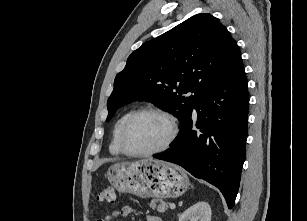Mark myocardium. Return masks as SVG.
<instances>
[{"instance_id":"f54148a6","label":"myocardium","mask_w":307,"mask_h":221,"mask_svg":"<svg viewBox=\"0 0 307 221\" xmlns=\"http://www.w3.org/2000/svg\"><path fill=\"white\" fill-rule=\"evenodd\" d=\"M145 114H155V115H159L161 117H163L164 119H166V121L169 124V134L168 137L166 138V140L157 148L149 150V151H144V152H137V151H133L131 149H129V147L127 146L126 143V136L127 133L131 127V125L135 122L136 119H138L140 116L145 115ZM178 130H179V126H178V121L176 119V117L171 114L170 112L161 109V108H156V107H146V108H142L139 109L137 111H135L134 113H132L129 118L125 121V123L123 124L120 134H119V147L122 151V153H124L127 156H131V157H148V156H152L158 153H161L163 151H165L166 149H168L170 147V145L173 143V141L175 140L177 134H178Z\"/></svg>"}]
</instances>
